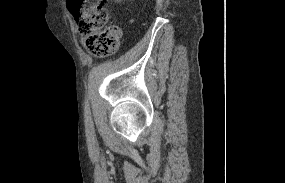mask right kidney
I'll list each match as a JSON object with an SVG mask.
<instances>
[{"mask_svg":"<svg viewBox=\"0 0 285 183\" xmlns=\"http://www.w3.org/2000/svg\"><path fill=\"white\" fill-rule=\"evenodd\" d=\"M116 2H121V1H123V0H115Z\"/></svg>","mask_w":285,"mask_h":183,"instance_id":"1","label":"right kidney"}]
</instances>
